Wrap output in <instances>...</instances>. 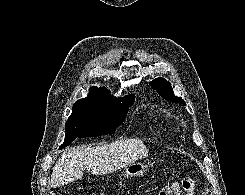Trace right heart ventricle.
<instances>
[{"instance_id":"1","label":"right heart ventricle","mask_w":245,"mask_h":195,"mask_svg":"<svg viewBox=\"0 0 245 195\" xmlns=\"http://www.w3.org/2000/svg\"><path fill=\"white\" fill-rule=\"evenodd\" d=\"M161 124H162V123H161L160 121H158V125L161 126Z\"/></svg>"}]
</instances>
